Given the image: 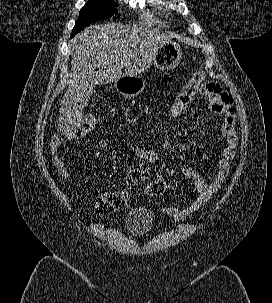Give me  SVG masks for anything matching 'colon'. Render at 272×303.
Returning a JSON list of instances; mask_svg holds the SVG:
<instances>
[{
	"label": "colon",
	"mask_w": 272,
	"mask_h": 303,
	"mask_svg": "<svg viewBox=\"0 0 272 303\" xmlns=\"http://www.w3.org/2000/svg\"><path fill=\"white\" fill-rule=\"evenodd\" d=\"M205 79L203 71L195 72L190 81L183 87L180 93L176 96L175 100L171 104L167 113L168 124L178 125L185 117V113L191 103L193 102L195 95L199 92L201 85ZM97 126V120L93 117H83L77 120V124L74 129H69L65 133L55 136L52 143V160L58 173L67 178L70 176L69 170L63 162L60 155V148L62 145L71 138L80 137L95 130ZM137 148H143L139 145ZM167 182L164 177L158 175L146 188V194L148 196H161L167 189ZM128 204V197L123 192H108L100 195L97 198L95 210L96 213L101 216L109 215L117 210L123 209Z\"/></svg>",
	"instance_id": "colon-1"
}]
</instances>
